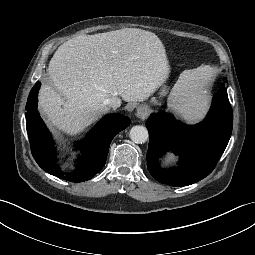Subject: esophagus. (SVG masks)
Instances as JSON below:
<instances>
[{
  "instance_id": "obj_1",
  "label": "esophagus",
  "mask_w": 255,
  "mask_h": 255,
  "mask_svg": "<svg viewBox=\"0 0 255 255\" xmlns=\"http://www.w3.org/2000/svg\"><path fill=\"white\" fill-rule=\"evenodd\" d=\"M148 112L147 106H139L136 109V116L139 118H144Z\"/></svg>"
}]
</instances>
